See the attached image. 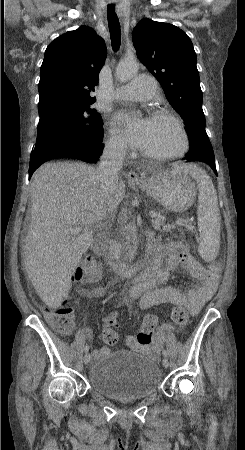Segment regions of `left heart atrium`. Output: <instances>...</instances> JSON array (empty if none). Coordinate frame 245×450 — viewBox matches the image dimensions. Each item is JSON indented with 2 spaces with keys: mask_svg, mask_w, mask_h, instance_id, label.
<instances>
[{
  "mask_svg": "<svg viewBox=\"0 0 245 450\" xmlns=\"http://www.w3.org/2000/svg\"><path fill=\"white\" fill-rule=\"evenodd\" d=\"M114 127L123 134L130 146L142 148L147 138L149 120L137 119L132 113L121 110L115 116Z\"/></svg>",
  "mask_w": 245,
  "mask_h": 450,
  "instance_id": "1",
  "label": "left heart atrium"
}]
</instances>
